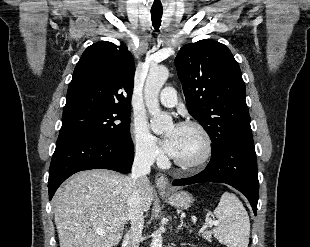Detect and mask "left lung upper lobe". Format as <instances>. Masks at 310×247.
Instances as JSON below:
<instances>
[{
    "instance_id": "obj_1",
    "label": "left lung upper lobe",
    "mask_w": 310,
    "mask_h": 247,
    "mask_svg": "<svg viewBox=\"0 0 310 247\" xmlns=\"http://www.w3.org/2000/svg\"><path fill=\"white\" fill-rule=\"evenodd\" d=\"M189 113L212 140V154L251 137L245 83L239 64L222 43L204 39L183 46L175 58Z\"/></svg>"
}]
</instances>
